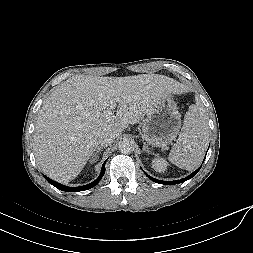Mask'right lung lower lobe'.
<instances>
[{
	"instance_id": "right-lung-lower-lobe-1",
	"label": "right lung lower lobe",
	"mask_w": 253,
	"mask_h": 253,
	"mask_svg": "<svg viewBox=\"0 0 253 253\" xmlns=\"http://www.w3.org/2000/svg\"><path fill=\"white\" fill-rule=\"evenodd\" d=\"M106 162V161H105ZM105 162L103 163L102 165V171H101V174L99 175V177L87 184V185H84V186H79V187H67V186H64L62 184H59L53 180H51L50 178H48L47 176L44 175L45 179L51 184L53 185L54 187L58 188L59 190H62V191H66V192H78V191H84V190H88L92 187H94L99 181L100 179L102 178V176L104 175L105 173Z\"/></svg>"
}]
</instances>
